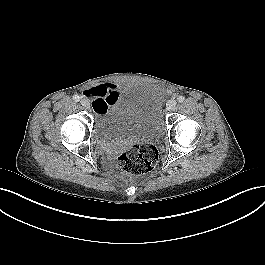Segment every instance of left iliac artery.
<instances>
[{
  "mask_svg": "<svg viewBox=\"0 0 265 265\" xmlns=\"http://www.w3.org/2000/svg\"><path fill=\"white\" fill-rule=\"evenodd\" d=\"M185 100V97L184 96H178V98H177V101L179 102V103H182L183 101Z\"/></svg>",
  "mask_w": 265,
  "mask_h": 265,
  "instance_id": "left-iliac-artery-1",
  "label": "left iliac artery"
}]
</instances>
